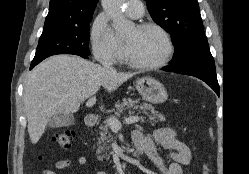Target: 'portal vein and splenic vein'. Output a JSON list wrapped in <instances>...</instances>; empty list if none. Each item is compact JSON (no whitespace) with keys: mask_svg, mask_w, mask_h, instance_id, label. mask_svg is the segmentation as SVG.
Listing matches in <instances>:
<instances>
[{"mask_svg":"<svg viewBox=\"0 0 249 174\" xmlns=\"http://www.w3.org/2000/svg\"><path fill=\"white\" fill-rule=\"evenodd\" d=\"M96 102V97H91L87 102V107H92ZM140 120V117L138 116H129L125 119L126 124H132L136 123ZM108 125L113 131H119L121 129V122L117 118H109L108 119Z\"/></svg>","mask_w":249,"mask_h":174,"instance_id":"portal-vein-and-splenic-vein-1","label":"portal vein and splenic vein"}]
</instances>
